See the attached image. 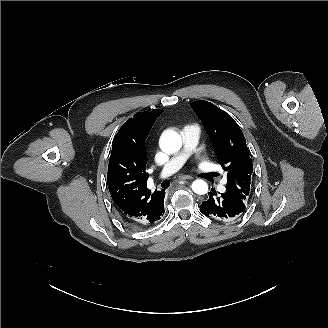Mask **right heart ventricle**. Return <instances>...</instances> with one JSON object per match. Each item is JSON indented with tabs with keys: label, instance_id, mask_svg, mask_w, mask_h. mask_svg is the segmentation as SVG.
Instances as JSON below:
<instances>
[{
	"label": "right heart ventricle",
	"instance_id": "obj_1",
	"mask_svg": "<svg viewBox=\"0 0 328 328\" xmlns=\"http://www.w3.org/2000/svg\"><path fill=\"white\" fill-rule=\"evenodd\" d=\"M187 126H191V127L195 128L200 133V127H199V125H197V124H189Z\"/></svg>",
	"mask_w": 328,
	"mask_h": 328
}]
</instances>
